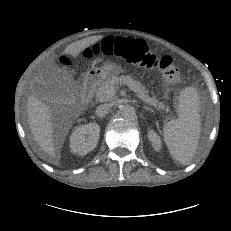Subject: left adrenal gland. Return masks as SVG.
Wrapping results in <instances>:
<instances>
[{
  "instance_id": "1",
  "label": "left adrenal gland",
  "mask_w": 231,
  "mask_h": 231,
  "mask_svg": "<svg viewBox=\"0 0 231 231\" xmlns=\"http://www.w3.org/2000/svg\"><path fill=\"white\" fill-rule=\"evenodd\" d=\"M143 108L147 111L153 112V110L151 108H148L147 106H144Z\"/></svg>"
}]
</instances>
